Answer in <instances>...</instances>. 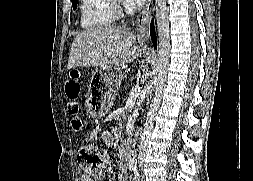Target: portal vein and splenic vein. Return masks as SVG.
Masks as SVG:
<instances>
[{"instance_id": "obj_1", "label": "portal vein and splenic vein", "mask_w": 253, "mask_h": 181, "mask_svg": "<svg viewBox=\"0 0 253 181\" xmlns=\"http://www.w3.org/2000/svg\"><path fill=\"white\" fill-rule=\"evenodd\" d=\"M133 92H139L140 91V87L139 85H136L135 87L132 88Z\"/></svg>"}]
</instances>
